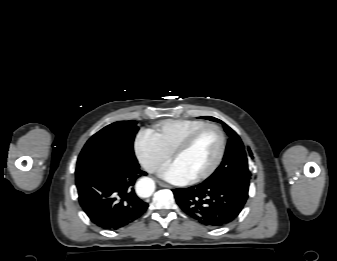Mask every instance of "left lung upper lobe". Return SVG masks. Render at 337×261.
Returning a JSON list of instances; mask_svg holds the SVG:
<instances>
[{
  "mask_svg": "<svg viewBox=\"0 0 337 261\" xmlns=\"http://www.w3.org/2000/svg\"><path fill=\"white\" fill-rule=\"evenodd\" d=\"M205 118L222 123L230 138L221 165L204 182L227 185L247 198L251 173L248 169L247 155L240 137L224 122L213 117ZM248 151L251 155L250 149Z\"/></svg>",
  "mask_w": 337,
  "mask_h": 261,
  "instance_id": "left-lung-upper-lobe-1",
  "label": "left lung upper lobe"
}]
</instances>
